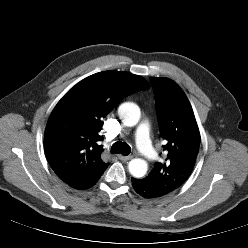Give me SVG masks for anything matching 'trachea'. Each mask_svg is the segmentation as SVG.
Wrapping results in <instances>:
<instances>
[{"mask_svg":"<svg viewBox=\"0 0 248 248\" xmlns=\"http://www.w3.org/2000/svg\"><path fill=\"white\" fill-rule=\"evenodd\" d=\"M130 152H131L130 146L121 141L115 142L111 147L112 154H122L124 156H127L130 154Z\"/></svg>","mask_w":248,"mask_h":248,"instance_id":"obj_1","label":"trachea"}]
</instances>
